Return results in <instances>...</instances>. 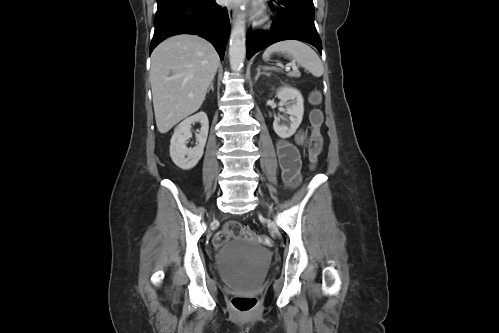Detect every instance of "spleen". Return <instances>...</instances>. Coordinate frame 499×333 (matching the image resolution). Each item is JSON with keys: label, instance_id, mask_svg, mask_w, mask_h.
Returning a JSON list of instances; mask_svg holds the SVG:
<instances>
[{"label": "spleen", "instance_id": "3e777b00", "mask_svg": "<svg viewBox=\"0 0 499 333\" xmlns=\"http://www.w3.org/2000/svg\"><path fill=\"white\" fill-rule=\"evenodd\" d=\"M273 53L286 55V57L307 69L315 77H320L324 73V67L319 56L308 45L300 41L285 40L275 43L264 51L262 57L264 60H269Z\"/></svg>", "mask_w": 499, "mask_h": 333}]
</instances>
